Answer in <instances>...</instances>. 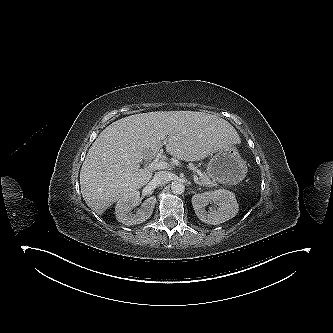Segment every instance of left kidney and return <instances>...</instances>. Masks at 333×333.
<instances>
[{
  "mask_svg": "<svg viewBox=\"0 0 333 333\" xmlns=\"http://www.w3.org/2000/svg\"><path fill=\"white\" fill-rule=\"evenodd\" d=\"M214 202L217 209L206 211L205 207ZM192 205L197 217L204 223L218 225L235 217L239 211V205L234 193L218 189L214 191L195 194L192 197Z\"/></svg>",
  "mask_w": 333,
  "mask_h": 333,
  "instance_id": "left-kidney-1",
  "label": "left kidney"
}]
</instances>
